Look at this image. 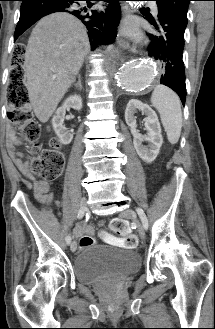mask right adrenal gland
Here are the masks:
<instances>
[{
	"instance_id": "1",
	"label": "right adrenal gland",
	"mask_w": 215,
	"mask_h": 329,
	"mask_svg": "<svg viewBox=\"0 0 215 329\" xmlns=\"http://www.w3.org/2000/svg\"><path fill=\"white\" fill-rule=\"evenodd\" d=\"M73 85L77 88H79L80 90H82V83H81V76L80 74H78V82L77 83H73Z\"/></svg>"
}]
</instances>
